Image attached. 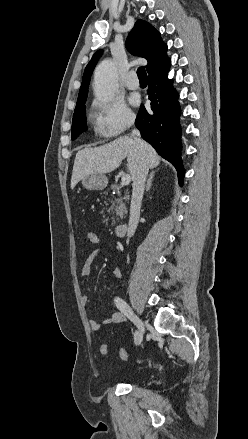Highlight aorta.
Listing matches in <instances>:
<instances>
[{
	"instance_id": "obj_1",
	"label": "aorta",
	"mask_w": 248,
	"mask_h": 439,
	"mask_svg": "<svg viewBox=\"0 0 248 439\" xmlns=\"http://www.w3.org/2000/svg\"><path fill=\"white\" fill-rule=\"evenodd\" d=\"M118 74L112 60L102 61L94 73V93L102 101H112L116 94Z\"/></svg>"
}]
</instances>
